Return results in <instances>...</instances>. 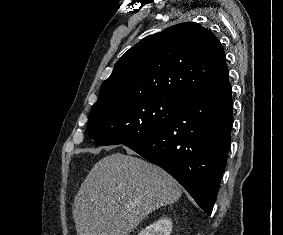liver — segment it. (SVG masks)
<instances>
[{
  "mask_svg": "<svg viewBox=\"0 0 283 235\" xmlns=\"http://www.w3.org/2000/svg\"><path fill=\"white\" fill-rule=\"evenodd\" d=\"M132 155L113 153L93 166L73 203L77 235H129L152 211L179 200L172 176Z\"/></svg>",
  "mask_w": 283,
  "mask_h": 235,
  "instance_id": "obj_1",
  "label": "liver"
}]
</instances>
